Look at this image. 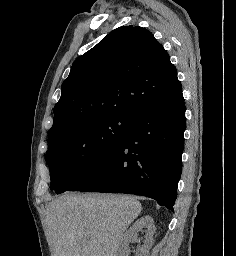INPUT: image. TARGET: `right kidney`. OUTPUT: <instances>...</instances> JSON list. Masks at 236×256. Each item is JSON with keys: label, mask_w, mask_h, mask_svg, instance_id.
<instances>
[{"label": "right kidney", "mask_w": 236, "mask_h": 256, "mask_svg": "<svg viewBox=\"0 0 236 256\" xmlns=\"http://www.w3.org/2000/svg\"><path fill=\"white\" fill-rule=\"evenodd\" d=\"M143 228H145L143 246L137 248L136 256H149V252L154 244V234L156 230L151 216H143V218H140V220H137V222L133 224L130 230H127V232L123 234V238L120 240L119 256H127L130 242H140V240H137V236L138 232H142Z\"/></svg>", "instance_id": "right-kidney-1"}]
</instances>
